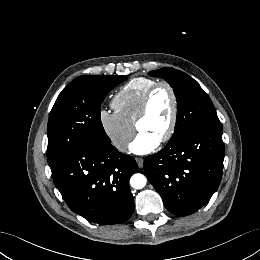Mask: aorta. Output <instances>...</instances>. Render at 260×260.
Returning a JSON list of instances; mask_svg holds the SVG:
<instances>
[{
  "mask_svg": "<svg viewBox=\"0 0 260 260\" xmlns=\"http://www.w3.org/2000/svg\"><path fill=\"white\" fill-rule=\"evenodd\" d=\"M146 183H147V178L140 173L134 174L130 179V185L134 189H142L145 187Z\"/></svg>",
  "mask_w": 260,
  "mask_h": 260,
  "instance_id": "1",
  "label": "aorta"
}]
</instances>
